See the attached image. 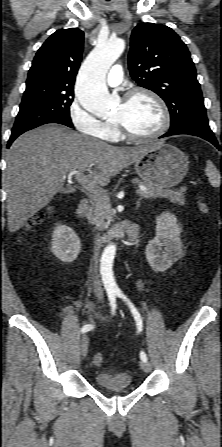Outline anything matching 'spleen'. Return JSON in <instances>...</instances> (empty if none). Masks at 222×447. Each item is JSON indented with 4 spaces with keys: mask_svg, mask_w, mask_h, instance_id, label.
Returning a JSON list of instances; mask_svg holds the SVG:
<instances>
[{
    "mask_svg": "<svg viewBox=\"0 0 222 447\" xmlns=\"http://www.w3.org/2000/svg\"><path fill=\"white\" fill-rule=\"evenodd\" d=\"M206 175L212 186L218 187L220 185V175L216 167L211 161H207Z\"/></svg>",
    "mask_w": 222,
    "mask_h": 447,
    "instance_id": "3e777b00",
    "label": "spleen"
}]
</instances>
